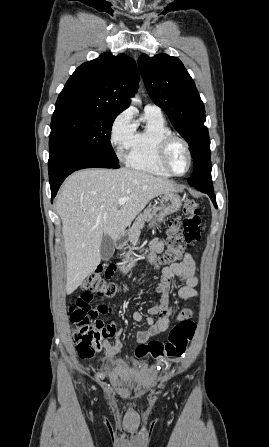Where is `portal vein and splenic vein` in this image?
Masks as SVG:
<instances>
[{"label":"portal vein and splenic vein","mask_w":269,"mask_h":447,"mask_svg":"<svg viewBox=\"0 0 269 447\" xmlns=\"http://www.w3.org/2000/svg\"><path fill=\"white\" fill-rule=\"evenodd\" d=\"M127 200H129V198H120V200H118V204H120V206H123V204H125Z\"/></svg>","instance_id":"18ae733b"}]
</instances>
